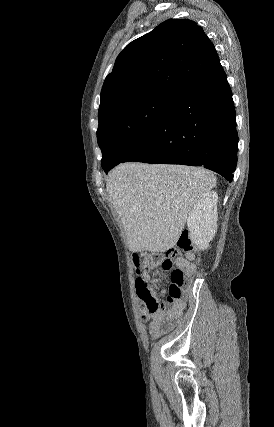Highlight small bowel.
Segmentation results:
<instances>
[{
    "label": "small bowel",
    "instance_id": "1",
    "mask_svg": "<svg viewBox=\"0 0 274 427\" xmlns=\"http://www.w3.org/2000/svg\"><path fill=\"white\" fill-rule=\"evenodd\" d=\"M194 254L192 252L185 253L183 256L177 257L174 260L175 265L178 268L184 269L186 272L192 275L196 272V266L192 263ZM141 275L144 277V281L147 283V288L151 295L156 299V288L161 284L164 278H152V272L150 270L144 271ZM184 310V303L182 301H175L169 308L163 310L160 309L151 315V322L149 326L150 333L153 337L158 338L168 332L173 326L176 320H178Z\"/></svg>",
    "mask_w": 274,
    "mask_h": 427
}]
</instances>
